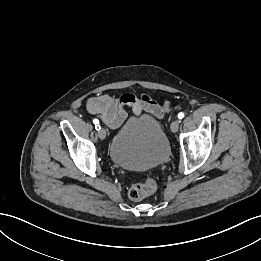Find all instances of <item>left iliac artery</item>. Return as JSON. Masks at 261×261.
Listing matches in <instances>:
<instances>
[{
	"label": "left iliac artery",
	"instance_id": "obj_1",
	"mask_svg": "<svg viewBox=\"0 0 261 261\" xmlns=\"http://www.w3.org/2000/svg\"><path fill=\"white\" fill-rule=\"evenodd\" d=\"M183 117H184V113L180 112V113L178 114V118H179V119H182Z\"/></svg>",
	"mask_w": 261,
	"mask_h": 261
}]
</instances>
